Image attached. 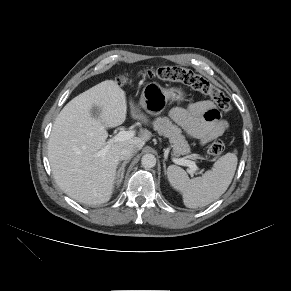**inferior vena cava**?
<instances>
[{
  "mask_svg": "<svg viewBox=\"0 0 291 291\" xmlns=\"http://www.w3.org/2000/svg\"><path fill=\"white\" fill-rule=\"evenodd\" d=\"M137 151L138 149L134 145H129L121 150L120 158L122 160H130Z\"/></svg>",
  "mask_w": 291,
  "mask_h": 291,
  "instance_id": "1",
  "label": "inferior vena cava"
}]
</instances>
